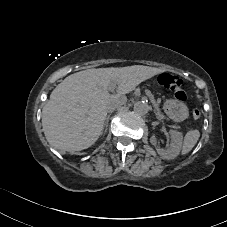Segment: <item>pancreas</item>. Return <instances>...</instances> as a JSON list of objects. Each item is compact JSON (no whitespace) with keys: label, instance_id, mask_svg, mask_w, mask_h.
Returning <instances> with one entry per match:
<instances>
[{"label":"pancreas","instance_id":"pancreas-1","mask_svg":"<svg viewBox=\"0 0 227 227\" xmlns=\"http://www.w3.org/2000/svg\"><path fill=\"white\" fill-rule=\"evenodd\" d=\"M161 116H162L163 118L165 117L163 114H162ZM165 119H166V121H167V122H168V123H169L172 127H174V126H175L174 124H172V123H171V121H170V120H168V118H167V117H166Z\"/></svg>","mask_w":227,"mask_h":227}]
</instances>
